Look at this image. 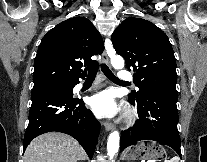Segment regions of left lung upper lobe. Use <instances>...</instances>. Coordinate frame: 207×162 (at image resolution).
Wrapping results in <instances>:
<instances>
[{"instance_id":"1","label":"left lung upper lobe","mask_w":207,"mask_h":162,"mask_svg":"<svg viewBox=\"0 0 207 162\" xmlns=\"http://www.w3.org/2000/svg\"><path fill=\"white\" fill-rule=\"evenodd\" d=\"M117 54L133 69L139 91L129 100L140 101L150 93L176 94V61L167 35L142 18L125 19L112 34Z\"/></svg>"}]
</instances>
